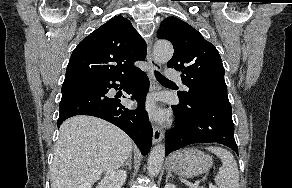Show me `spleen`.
Segmentation results:
<instances>
[{
	"label": "spleen",
	"instance_id": "1",
	"mask_svg": "<svg viewBox=\"0 0 292 188\" xmlns=\"http://www.w3.org/2000/svg\"><path fill=\"white\" fill-rule=\"evenodd\" d=\"M206 149L216 154L222 162L215 177L218 188H239V171L234 156L222 147L210 146Z\"/></svg>",
	"mask_w": 292,
	"mask_h": 188
}]
</instances>
